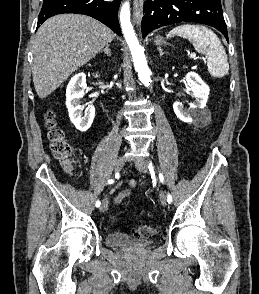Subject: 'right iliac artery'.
I'll list each match as a JSON object with an SVG mask.
<instances>
[{
    "instance_id": "82829eb1",
    "label": "right iliac artery",
    "mask_w": 259,
    "mask_h": 294,
    "mask_svg": "<svg viewBox=\"0 0 259 294\" xmlns=\"http://www.w3.org/2000/svg\"><path fill=\"white\" fill-rule=\"evenodd\" d=\"M115 176H116V178H117V177H119V174L117 173ZM113 182H114V180L111 179V180L108 181V184H112ZM100 204H101V203H100V201L98 200V201H96V204H95V205H96V207H99Z\"/></svg>"
}]
</instances>
